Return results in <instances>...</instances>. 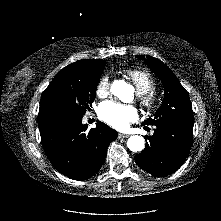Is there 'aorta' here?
I'll return each mask as SVG.
<instances>
[{"instance_id": "aorta-1", "label": "aorta", "mask_w": 221, "mask_h": 221, "mask_svg": "<svg viewBox=\"0 0 221 221\" xmlns=\"http://www.w3.org/2000/svg\"><path fill=\"white\" fill-rule=\"evenodd\" d=\"M111 92L119 99L126 100L131 97L134 92V88L125 80H116L111 86ZM144 146L145 142L142 136L133 135L127 140V147L132 152H140L144 149Z\"/></svg>"}]
</instances>
